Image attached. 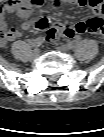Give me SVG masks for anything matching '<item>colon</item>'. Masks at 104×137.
Returning a JSON list of instances; mask_svg holds the SVG:
<instances>
[{
    "instance_id": "colon-1",
    "label": "colon",
    "mask_w": 104,
    "mask_h": 137,
    "mask_svg": "<svg viewBox=\"0 0 104 137\" xmlns=\"http://www.w3.org/2000/svg\"><path fill=\"white\" fill-rule=\"evenodd\" d=\"M38 27L40 29L46 30V41L51 44H57L62 38H70L78 33L77 30H74L70 27H60L52 24L46 25L44 21H41L38 24ZM83 30L85 32L93 33L94 35H99L103 31V20L99 17H94L87 22L86 27ZM7 33L8 31L5 30L2 32L1 41L5 38Z\"/></svg>"
}]
</instances>
